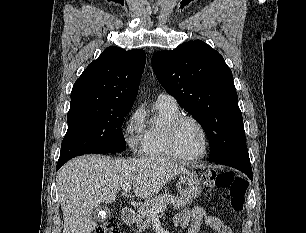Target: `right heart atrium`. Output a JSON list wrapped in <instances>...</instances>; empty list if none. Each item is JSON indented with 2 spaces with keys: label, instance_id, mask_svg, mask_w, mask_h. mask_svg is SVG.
<instances>
[{
  "label": "right heart atrium",
  "instance_id": "d8ad5b80",
  "mask_svg": "<svg viewBox=\"0 0 306 233\" xmlns=\"http://www.w3.org/2000/svg\"><path fill=\"white\" fill-rule=\"evenodd\" d=\"M123 135L127 146L137 155L143 154L145 129L143 112L140 108L135 109L127 118Z\"/></svg>",
  "mask_w": 306,
  "mask_h": 233
}]
</instances>
